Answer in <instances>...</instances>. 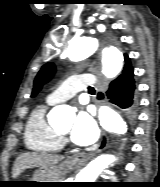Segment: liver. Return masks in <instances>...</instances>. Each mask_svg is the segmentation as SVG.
Instances as JSON below:
<instances>
[{
  "instance_id": "6515ba94",
  "label": "liver",
  "mask_w": 160,
  "mask_h": 187,
  "mask_svg": "<svg viewBox=\"0 0 160 187\" xmlns=\"http://www.w3.org/2000/svg\"><path fill=\"white\" fill-rule=\"evenodd\" d=\"M63 156L26 152L21 154L14 162L12 176L17 178L29 168L54 166L63 160Z\"/></svg>"
}]
</instances>
